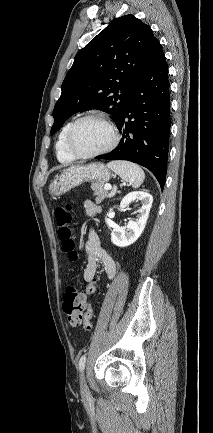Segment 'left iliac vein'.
Here are the masks:
<instances>
[{
    "label": "left iliac vein",
    "instance_id": "1",
    "mask_svg": "<svg viewBox=\"0 0 213 433\" xmlns=\"http://www.w3.org/2000/svg\"><path fill=\"white\" fill-rule=\"evenodd\" d=\"M80 380H81L80 382H81V392H82V395L83 396H88L89 395V390H88V387H87V385L85 383V379H84V375L83 374H81Z\"/></svg>",
    "mask_w": 213,
    "mask_h": 433
}]
</instances>
